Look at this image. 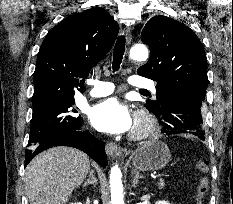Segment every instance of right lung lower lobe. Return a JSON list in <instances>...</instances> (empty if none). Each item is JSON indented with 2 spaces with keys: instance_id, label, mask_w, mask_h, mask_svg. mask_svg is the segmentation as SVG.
<instances>
[{
  "instance_id": "1",
  "label": "right lung lower lobe",
  "mask_w": 233,
  "mask_h": 204,
  "mask_svg": "<svg viewBox=\"0 0 233 204\" xmlns=\"http://www.w3.org/2000/svg\"><path fill=\"white\" fill-rule=\"evenodd\" d=\"M53 146H70L80 149L100 165H107L104 143L95 138L89 131H81V128H78L60 132L48 138L35 149L28 150L25 154V167L38 153Z\"/></svg>"
}]
</instances>
